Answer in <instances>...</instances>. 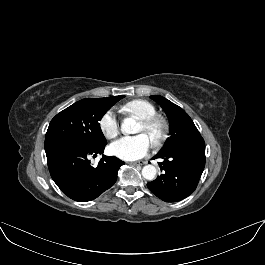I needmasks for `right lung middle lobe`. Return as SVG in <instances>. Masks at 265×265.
<instances>
[{
	"label": "right lung middle lobe",
	"instance_id": "right-lung-middle-lobe-1",
	"mask_svg": "<svg viewBox=\"0 0 265 265\" xmlns=\"http://www.w3.org/2000/svg\"><path fill=\"white\" fill-rule=\"evenodd\" d=\"M115 103L108 98L82 99L51 120L45 138L68 137L90 145L104 144L107 141L99 121Z\"/></svg>",
	"mask_w": 265,
	"mask_h": 265
}]
</instances>
